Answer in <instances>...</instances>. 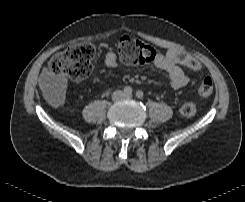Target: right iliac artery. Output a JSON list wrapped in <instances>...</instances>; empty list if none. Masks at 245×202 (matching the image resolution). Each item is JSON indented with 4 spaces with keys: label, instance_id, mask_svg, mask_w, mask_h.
Wrapping results in <instances>:
<instances>
[{
    "label": "right iliac artery",
    "instance_id": "right-iliac-artery-1",
    "mask_svg": "<svg viewBox=\"0 0 245 202\" xmlns=\"http://www.w3.org/2000/svg\"><path fill=\"white\" fill-rule=\"evenodd\" d=\"M123 91L126 95H130V94H132L133 90L130 86H126Z\"/></svg>",
    "mask_w": 245,
    "mask_h": 202
}]
</instances>
